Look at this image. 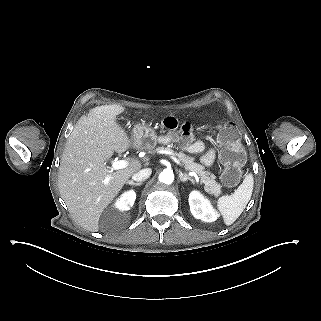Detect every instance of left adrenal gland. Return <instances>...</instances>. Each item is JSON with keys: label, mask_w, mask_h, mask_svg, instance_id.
<instances>
[{"label": "left adrenal gland", "mask_w": 321, "mask_h": 321, "mask_svg": "<svg viewBox=\"0 0 321 321\" xmlns=\"http://www.w3.org/2000/svg\"><path fill=\"white\" fill-rule=\"evenodd\" d=\"M180 181L182 183H185L187 181H190L194 185V181L187 175H183L182 173L179 174Z\"/></svg>", "instance_id": "left-adrenal-gland-1"}]
</instances>
